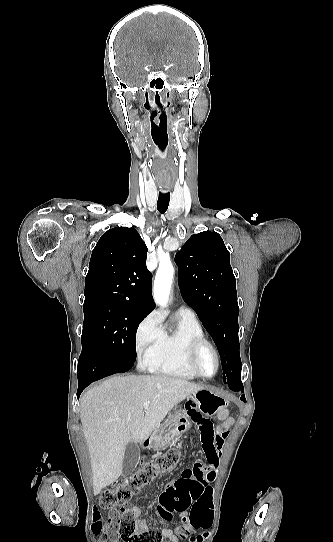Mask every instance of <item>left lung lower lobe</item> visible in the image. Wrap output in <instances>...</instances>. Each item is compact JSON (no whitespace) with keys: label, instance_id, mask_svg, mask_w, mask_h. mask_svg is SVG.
Instances as JSON below:
<instances>
[{"label":"left lung lower lobe","instance_id":"obj_1","mask_svg":"<svg viewBox=\"0 0 333 542\" xmlns=\"http://www.w3.org/2000/svg\"><path fill=\"white\" fill-rule=\"evenodd\" d=\"M224 382L229 386V388L231 390L237 391L239 393H243L244 387H243V384L241 382L240 376L234 377V378H231V379H226V380H224ZM241 399L243 401H245V396L242 395Z\"/></svg>","mask_w":333,"mask_h":542}]
</instances>
